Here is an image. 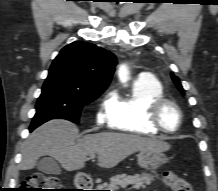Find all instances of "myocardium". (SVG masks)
I'll return each mask as SVG.
<instances>
[{"mask_svg":"<svg viewBox=\"0 0 218 191\" xmlns=\"http://www.w3.org/2000/svg\"><path fill=\"white\" fill-rule=\"evenodd\" d=\"M166 105H172L178 112L179 115V124L176 129L174 130H167L163 127V125L160 122V113L164 106ZM148 121L149 123L159 132L165 133V134H175L177 133L183 125L184 122V115L181 107L173 100L168 98H160L156 101H154L148 111Z\"/></svg>","mask_w":218,"mask_h":191,"instance_id":"f54148a6","label":"myocardium"}]
</instances>
